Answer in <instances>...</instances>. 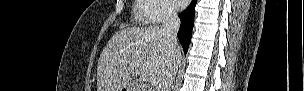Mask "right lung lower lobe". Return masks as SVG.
<instances>
[{
	"mask_svg": "<svg viewBox=\"0 0 304 91\" xmlns=\"http://www.w3.org/2000/svg\"><path fill=\"white\" fill-rule=\"evenodd\" d=\"M196 2L197 0H192L191 4L182 13L179 14L181 26L177 36L185 54L187 53L189 44L191 42Z\"/></svg>",
	"mask_w": 304,
	"mask_h": 91,
	"instance_id": "1",
	"label": "right lung lower lobe"
}]
</instances>
